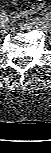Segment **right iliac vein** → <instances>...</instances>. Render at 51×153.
Wrapping results in <instances>:
<instances>
[{
    "mask_svg": "<svg viewBox=\"0 0 51 153\" xmlns=\"http://www.w3.org/2000/svg\"><path fill=\"white\" fill-rule=\"evenodd\" d=\"M8 31H9V27L7 25H1V27H0V34L1 35L7 34Z\"/></svg>",
    "mask_w": 51,
    "mask_h": 153,
    "instance_id": "1",
    "label": "right iliac vein"
}]
</instances>
